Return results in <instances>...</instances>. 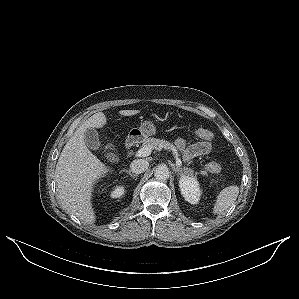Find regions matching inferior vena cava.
Returning <instances> with one entry per match:
<instances>
[{
  "label": "inferior vena cava",
  "mask_w": 299,
  "mask_h": 299,
  "mask_svg": "<svg viewBox=\"0 0 299 299\" xmlns=\"http://www.w3.org/2000/svg\"><path fill=\"white\" fill-rule=\"evenodd\" d=\"M148 167H149V163L145 159L134 160L130 165L131 171L135 174H140L145 172L148 169Z\"/></svg>",
  "instance_id": "602c4592"
}]
</instances>
